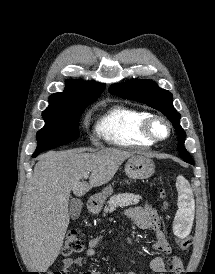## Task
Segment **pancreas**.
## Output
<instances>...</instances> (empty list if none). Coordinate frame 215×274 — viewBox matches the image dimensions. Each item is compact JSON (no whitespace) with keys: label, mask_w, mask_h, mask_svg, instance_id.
Wrapping results in <instances>:
<instances>
[{"label":"pancreas","mask_w":215,"mask_h":274,"mask_svg":"<svg viewBox=\"0 0 215 274\" xmlns=\"http://www.w3.org/2000/svg\"><path fill=\"white\" fill-rule=\"evenodd\" d=\"M141 199L140 195H134L129 193H123L114 195L110 198V200L107 202V206L104 208V215L108 212L115 211L118 207H126L130 205H136L139 203Z\"/></svg>","instance_id":"obj_1"}]
</instances>
